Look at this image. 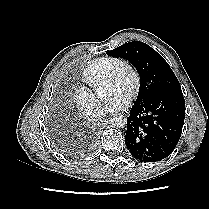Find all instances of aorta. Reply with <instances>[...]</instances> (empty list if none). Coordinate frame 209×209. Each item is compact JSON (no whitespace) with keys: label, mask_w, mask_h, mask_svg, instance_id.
I'll return each instance as SVG.
<instances>
[{"label":"aorta","mask_w":209,"mask_h":209,"mask_svg":"<svg viewBox=\"0 0 209 209\" xmlns=\"http://www.w3.org/2000/svg\"><path fill=\"white\" fill-rule=\"evenodd\" d=\"M111 125L123 128L127 124V118L123 114L115 115L110 120Z\"/></svg>","instance_id":"obj_1"}]
</instances>
